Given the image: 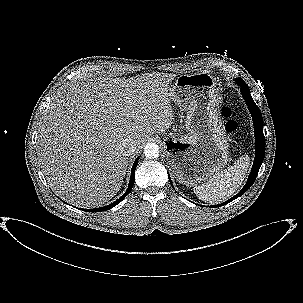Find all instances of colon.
I'll return each mask as SVG.
<instances>
[{"mask_svg":"<svg viewBox=\"0 0 303 303\" xmlns=\"http://www.w3.org/2000/svg\"><path fill=\"white\" fill-rule=\"evenodd\" d=\"M222 115L227 118L226 124H225V130L227 134L231 137H233L238 129V123L234 120L231 119L230 116L232 114L231 108L228 106H224L222 108Z\"/></svg>","mask_w":303,"mask_h":303,"instance_id":"1","label":"colon"}]
</instances>
